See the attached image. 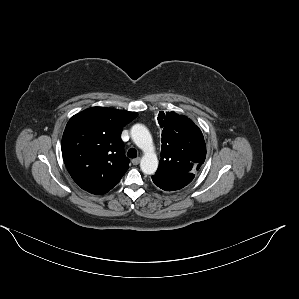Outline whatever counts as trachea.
Wrapping results in <instances>:
<instances>
[{
  "label": "trachea",
  "mask_w": 299,
  "mask_h": 299,
  "mask_svg": "<svg viewBox=\"0 0 299 299\" xmlns=\"http://www.w3.org/2000/svg\"><path fill=\"white\" fill-rule=\"evenodd\" d=\"M129 158H136L137 157V151L134 148H131L128 150L127 153Z\"/></svg>",
  "instance_id": "trachea-1"
}]
</instances>
